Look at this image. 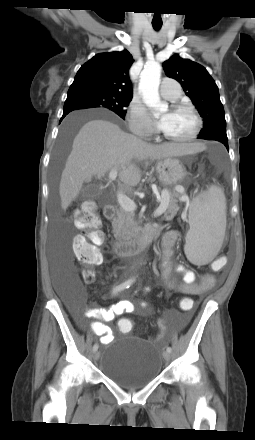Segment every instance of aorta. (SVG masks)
Segmentation results:
<instances>
[{"instance_id": "762f6f07", "label": "aorta", "mask_w": 255, "mask_h": 440, "mask_svg": "<svg viewBox=\"0 0 255 440\" xmlns=\"http://www.w3.org/2000/svg\"><path fill=\"white\" fill-rule=\"evenodd\" d=\"M161 65L158 62H149L140 74L139 91L144 103L158 111H166L168 105L162 103L159 96Z\"/></svg>"}]
</instances>
